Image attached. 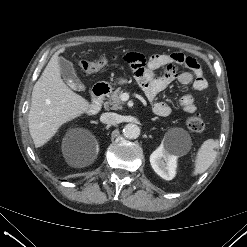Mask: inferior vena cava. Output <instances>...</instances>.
<instances>
[{
  "mask_svg": "<svg viewBox=\"0 0 247 247\" xmlns=\"http://www.w3.org/2000/svg\"><path fill=\"white\" fill-rule=\"evenodd\" d=\"M119 120H120L119 115L112 112L103 113L100 117V121L102 123L111 124V125L119 123Z\"/></svg>",
  "mask_w": 247,
  "mask_h": 247,
  "instance_id": "1",
  "label": "inferior vena cava"
}]
</instances>
